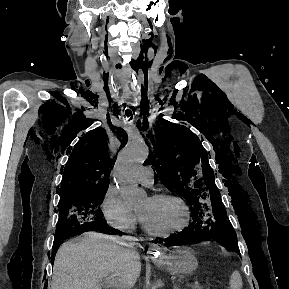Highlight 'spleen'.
I'll return each instance as SVG.
<instances>
[{
	"instance_id": "spleen-1",
	"label": "spleen",
	"mask_w": 289,
	"mask_h": 289,
	"mask_svg": "<svg viewBox=\"0 0 289 289\" xmlns=\"http://www.w3.org/2000/svg\"><path fill=\"white\" fill-rule=\"evenodd\" d=\"M229 285L230 289H242V278L237 270L231 274Z\"/></svg>"
}]
</instances>
